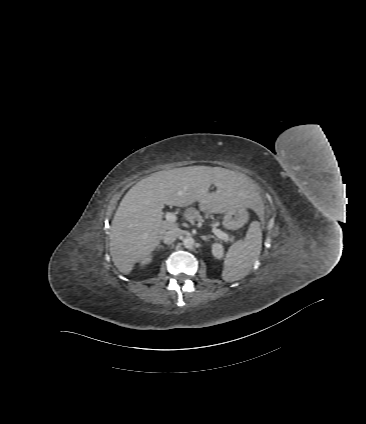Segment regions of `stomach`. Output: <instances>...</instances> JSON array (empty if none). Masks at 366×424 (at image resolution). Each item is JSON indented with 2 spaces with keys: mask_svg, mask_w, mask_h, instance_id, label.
<instances>
[{
  "mask_svg": "<svg viewBox=\"0 0 366 424\" xmlns=\"http://www.w3.org/2000/svg\"><path fill=\"white\" fill-rule=\"evenodd\" d=\"M242 219H248L246 207H234L225 212L222 225L228 230H237L242 226Z\"/></svg>",
  "mask_w": 366,
  "mask_h": 424,
  "instance_id": "obj_1",
  "label": "stomach"
}]
</instances>
